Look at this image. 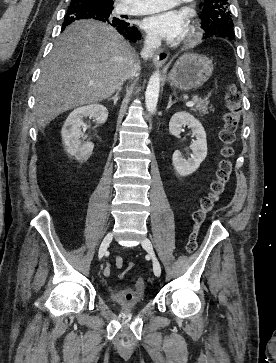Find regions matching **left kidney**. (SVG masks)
I'll use <instances>...</instances> for the list:
<instances>
[{"label":"left kidney","mask_w":276,"mask_h":363,"mask_svg":"<svg viewBox=\"0 0 276 363\" xmlns=\"http://www.w3.org/2000/svg\"><path fill=\"white\" fill-rule=\"evenodd\" d=\"M184 126L192 130V135L196 140L191 145L192 154L187 160L184 159L180 151H175L172 156L174 169L180 176H188L195 172L207 156L206 132L202 124L187 112L175 113L169 122L171 135L178 137Z\"/></svg>","instance_id":"left-kidney-1"}]
</instances>
